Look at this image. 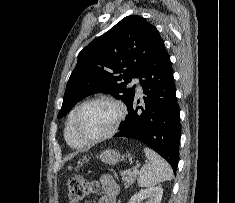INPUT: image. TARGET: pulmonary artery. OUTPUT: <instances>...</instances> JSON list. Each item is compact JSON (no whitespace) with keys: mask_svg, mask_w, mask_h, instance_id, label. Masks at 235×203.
Listing matches in <instances>:
<instances>
[{"mask_svg":"<svg viewBox=\"0 0 235 203\" xmlns=\"http://www.w3.org/2000/svg\"><path fill=\"white\" fill-rule=\"evenodd\" d=\"M132 83L136 85L139 94H141L142 93V86L140 84V80L138 78H135V79H133Z\"/></svg>","mask_w":235,"mask_h":203,"instance_id":"1","label":"pulmonary artery"}]
</instances>
